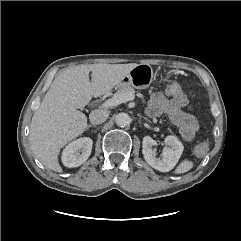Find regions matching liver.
I'll list each match as a JSON object with an SVG mask.
<instances>
[{
    "mask_svg": "<svg viewBox=\"0 0 241 241\" xmlns=\"http://www.w3.org/2000/svg\"><path fill=\"white\" fill-rule=\"evenodd\" d=\"M137 65L82 64L55 77L30 125L31 149L45 167L63 171L58 161L60 149L87 128V117L78 109L85 107L93 96L112 90Z\"/></svg>",
    "mask_w": 241,
    "mask_h": 241,
    "instance_id": "1",
    "label": "liver"
}]
</instances>
